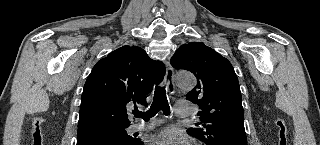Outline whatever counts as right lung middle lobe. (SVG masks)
<instances>
[{
    "label": "right lung middle lobe",
    "instance_id": "right-lung-middle-lobe-1",
    "mask_svg": "<svg viewBox=\"0 0 320 145\" xmlns=\"http://www.w3.org/2000/svg\"><path fill=\"white\" fill-rule=\"evenodd\" d=\"M125 128L126 127H118V128H102L98 131H101L103 133H106V134H109V135H112L116 138H119L121 140H124V141H131L132 140V137L127 135L126 131H125Z\"/></svg>",
    "mask_w": 320,
    "mask_h": 145
}]
</instances>
